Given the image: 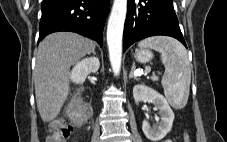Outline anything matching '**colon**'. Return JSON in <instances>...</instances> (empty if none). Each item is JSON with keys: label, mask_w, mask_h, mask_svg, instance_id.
Instances as JSON below:
<instances>
[{"label": "colon", "mask_w": 227, "mask_h": 142, "mask_svg": "<svg viewBox=\"0 0 227 142\" xmlns=\"http://www.w3.org/2000/svg\"><path fill=\"white\" fill-rule=\"evenodd\" d=\"M71 122L64 119H57L51 122L47 142H65L73 131L74 125H81L86 120V112L80 109L73 110L70 114ZM185 141L191 142L188 133L185 135Z\"/></svg>", "instance_id": "colon-1"}]
</instances>
